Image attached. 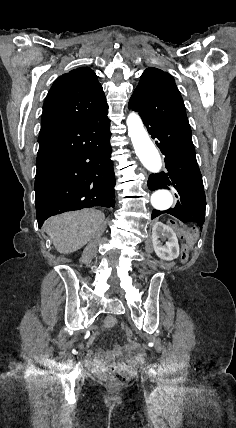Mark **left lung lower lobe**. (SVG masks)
Returning <instances> with one entry per match:
<instances>
[{"instance_id": "obj_1", "label": "left lung lower lobe", "mask_w": 236, "mask_h": 428, "mask_svg": "<svg viewBox=\"0 0 236 428\" xmlns=\"http://www.w3.org/2000/svg\"><path fill=\"white\" fill-rule=\"evenodd\" d=\"M149 134L165 155L167 172L151 174L148 187L174 190L178 198L173 209L153 210L151 219L168 213L184 223H195L200 230L205 220L206 198L202 176L196 161L190 126L172 119L141 115Z\"/></svg>"}]
</instances>
